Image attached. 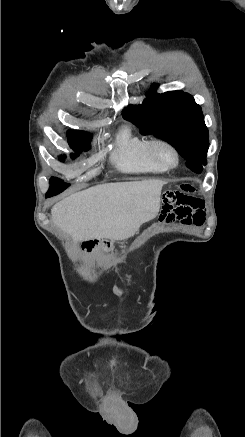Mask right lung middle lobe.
Listing matches in <instances>:
<instances>
[{"label":"right lung middle lobe","mask_w":245,"mask_h":437,"mask_svg":"<svg viewBox=\"0 0 245 437\" xmlns=\"http://www.w3.org/2000/svg\"><path fill=\"white\" fill-rule=\"evenodd\" d=\"M92 135L79 130H69L67 132V141L70 147L77 153L86 151L89 148V143L91 141ZM76 154H71V158H75ZM65 157L61 158L64 161ZM51 185H59L61 187L66 186L67 183H63L62 180L52 177L50 179Z\"/></svg>","instance_id":"1"}]
</instances>
